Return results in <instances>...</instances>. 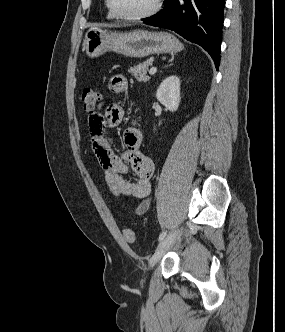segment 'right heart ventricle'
<instances>
[{
    "instance_id": "e07e8e85",
    "label": "right heart ventricle",
    "mask_w": 285,
    "mask_h": 332,
    "mask_svg": "<svg viewBox=\"0 0 285 332\" xmlns=\"http://www.w3.org/2000/svg\"><path fill=\"white\" fill-rule=\"evenodd\" d=\"M107 17L109 18V19H113L114 17L112 16V14L109 12V10L107 11Z\"/></svg>"
}]
</instances>
